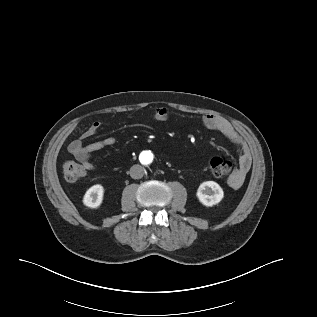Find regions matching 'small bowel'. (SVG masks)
Segmentation results:
<instances>
[{
  "instance_id": "c3829d8e",
  "label": "small bowel",
  "mask_w": 317,
  "mask_h": 317,
  "mask_svg": "<svg viewBox=\"0 0 317 317\" xmlns=\"http://www.w3.org/2000/svg\"><path fill=\"white\" fill-rule=\"evenodd\" d=\"M170 116L171 111L165 107H158L153 112L154 119L158 121H166ZM201 121L206 128L221 133L235 145H242L241 137L224 117L213 113H207L201 117ZM101 127L102 123L100 122L92 123L82 132L78 139L71 142L68 146V151L88 170H93L95 168L91 161V156L94 152L113 146L116 143L114 137H106L88 144L84 143L88 138L95 136L100 131ZM251 163L252 159L250 154L246 150H243L239 157L238 167L232 172L227 180L230 187L236 189L242 186L251 167Z\"/></svg>"
}]
</instances>
